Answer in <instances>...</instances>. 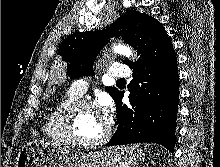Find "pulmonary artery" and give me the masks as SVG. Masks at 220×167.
<instances>
[{
  "instance_id": "obj_1",
  "label": "pulmonary artery",
  "mask_w": 220,
  "mask_h": 167,
  "mask_svg": "<svg viewBox=\"0 0 220 167\" xmlns=\"http://www.w3.org/2000/svg\"><path fill=\"white\" fill-rule=\"evenodd\" d=\"M130 68L125 64H114L108 70L109 77L113 79L123 78L129 76ZM88 89V82L85 79L75 81L71 87V92L77 96H82Z\"/></svg>"
}]
</instances>
